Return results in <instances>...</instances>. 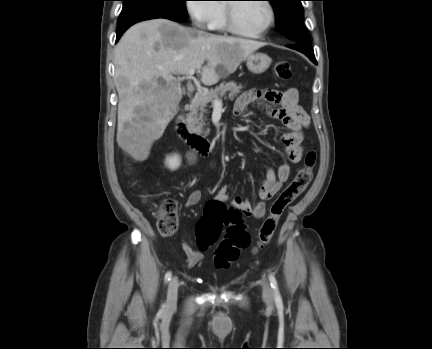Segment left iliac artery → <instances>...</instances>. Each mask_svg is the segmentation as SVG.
Wrapping results in <instances>:
<instances>
[{"instance_id":"obj_1","label":"left iliac artery","mask_w":432,"mask_h":349,"mask_svg":"<svg viewBox=\"0 0 432 349\" xmlns=\"http://www.w3.org/2000/svg\"><path fill=\"white\" fill-rule=\"evenodd\" d=\"M269 281H270V285H271L272 289L274 290V296H275L276 305L278 307H282L283 303H282V298H281V295H280V292H279V289H278L277 280H276L275 276L272 273L269 274Z\"/></svg>"}]
</instances>
